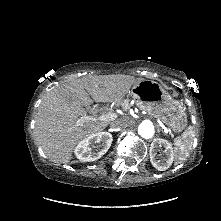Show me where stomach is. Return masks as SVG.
Segmentation results:
<instances>
[{"label": "stomach", "instance_id": "1", "mask_svg": "<svg viewBox=\"0 0 221 221\" xmlns=\"http://www.w3.org/2000/svg\"><path fill=\"white\" fill-rule=\"evenodd\" d=\"M131 96L141 110L161 119L174 132L185 129L187 115L184 106L174 100L158 82L139 81L133 85Z\"/></svg>", "mask_w": 221, "mask_h": 221}]
</instances>
